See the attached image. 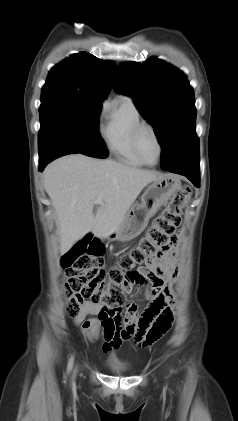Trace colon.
I'll list each match as a JSON object with an SVG mask.
<instances>
[{
  "label": "colon",
  "instance_id": "colon-1",
  "mask_svg": "<svg viewBox=\"0 0 238 421\" xmlns=\"http://www.w3.org/2000/svg\"><path fill=\"white\" fill-rule=\"evenodd\" d=\"M190 195L191 189L183 186L154 218L138 245L122 255L114 267H104V247L91 238L79 242L64 254L62 265L67 276L64 295L68 315L76 318L82 304L92 302L101 307L98 319L111 325L113 316L125 304V294L133 289L132 272L158 259L173 244ZM161 332L151 333L148 340L160 338Z\"/></svg>",
  "mask_w": 238,
  "mask_h": 421
}]
</instances>
